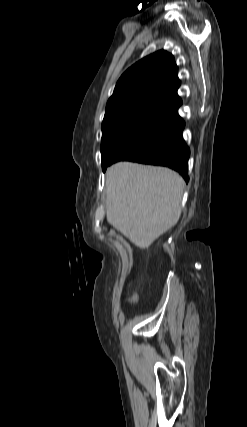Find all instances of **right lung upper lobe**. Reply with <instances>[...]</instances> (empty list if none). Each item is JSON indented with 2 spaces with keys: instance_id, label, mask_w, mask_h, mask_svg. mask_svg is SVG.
Wrapping results in <instances>:
<instances>
[{
  "instance_id": "obj_1",
  "label": "right lung upper lobe",
  "mask_w": 247,
  "mask_h": 427,
  "mask_svg": "<svg viewBox=\"0 0 247 427\" xmlns=\"http://www.w3.org/2000/svg\"><path fill=\"white\" fill-rule=\"evenodd\" d=\"M180 86L174 57L157 51L127 69L107 102L106 114L129 109L150 112L178 97Z\"/></svg>"
}]
</instances>
